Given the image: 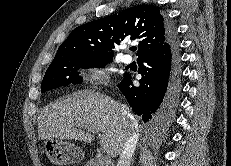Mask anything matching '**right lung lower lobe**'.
<instances>
[{"mask_svg":"<svg viewBox=\"0 0 231 166\" xmlns=\"http://www.w3.org/2000/svg\"><path fill=\"white\" fill-rule=\"evenodd\" d=\"M167 27L168 41L157 51L138 58L140 86L132 84L128 73L118 85L135 114L154 131L171 123L181 89L178 38L169 20Z\"/></svg>","mask_w":231,"mask_h":166,"instance_id":"right-lung-lower-lobe-1","label":"right lung lower lobe"}]
</instances>
